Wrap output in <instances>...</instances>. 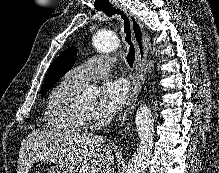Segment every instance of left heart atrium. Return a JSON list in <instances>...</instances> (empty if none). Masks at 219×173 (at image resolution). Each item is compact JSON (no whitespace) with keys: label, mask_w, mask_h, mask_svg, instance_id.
<instances>
[{"label":"left heart atrium","mask_w":219,"mask_h":173,"mask_svg":"<svg viewBox=\"0 0 219 173\" xmlns=\"http://www.w3.org/2000/svg\"><path fill=\"white\" fill-rule=\"evenodd\" d=\"M128 96L129 88L124 80L106 81L101 88L96 104V115L106 118L115 114L125 105Z\"/></svg>","instance_id":"39dd6f15"}]
</instances>
